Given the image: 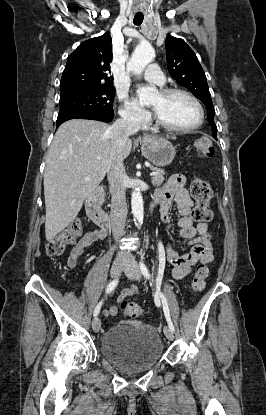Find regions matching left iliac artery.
<instances>
[{"instance_id":"1","label":"left iliac artery","mask_w":266,"mask_h":415,"mask_svg":"<svg viewBox=\"0 0 266 415\" xmlns=\"http://www.w3.org/2000/svg\"><path fill=\"white\" fill-rule=\"evenodd\" d=\"M140 269H141V272H142V274L144 275V277L146 279H150L151 278L150 272H149L148 268L146 267V265L144 264V262L142 260L140 261ZM162 277H163V271L162 270H159L158 276H157V279H156L158 288L161 285ZM159 294H160V298H161V301H162L165 318L167 320V323L169 325V328L174 332L175 331V328H174V325H173L172 320H171V317H170V312H169V308H168V303H167L166 297L164 296L163 293L160 292V290H159Z\"/></svg>"}]
</instances>
